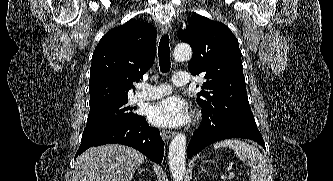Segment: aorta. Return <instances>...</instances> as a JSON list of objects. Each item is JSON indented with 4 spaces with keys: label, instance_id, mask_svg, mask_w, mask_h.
<instances>
[{
    "label": "aorta",
    "instance_id": "aorta-1",
    "mask_svg": "<svg viewBox=\"0 0 333 181\" xmlns=\"http://www.w3.org/2000/svg\"><path fill=\"white\" fill-rule=\"evenodd\" d=\"M174 58L178 61L187 60L192 55V49L187 44H180L174 49ZM186 136L178 133L169 146V168L175 181H183L186 171Z\"/></svg>",
    "mask_w": 333,
    "mask_h": 181
}]
</instances>
